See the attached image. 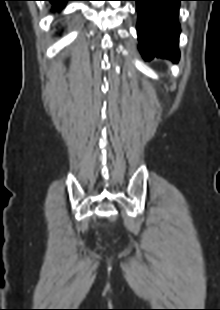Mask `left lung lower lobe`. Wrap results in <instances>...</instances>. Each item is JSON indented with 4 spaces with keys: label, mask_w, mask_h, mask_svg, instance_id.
Instances as JSON below:
<instances>
[{
    "label": "left lung lower lobe",
    "mask_w": 220,
    "mask_h": 310,
    "mask_svg": "<svg viewBox=\"0 0 220 310\" xmlns=\"http://www.w3.org/2000/svg\"><path fill=\"white\" fill-rule=\"evenodd\" d=\"M138 11L137 33L139 50L145 60L155 56L178 62L180 1L184 0H132Z\"/></svg>",
    "instance_id": "left-lung-lower-lobe-1"
}]
</instances>
